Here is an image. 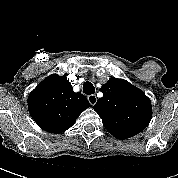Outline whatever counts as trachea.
I'll return each mask as SVG.
<instances>
[{
  "instance_id": "trachea-1",
  "label": "trachea",
  "mask_w": 178,
  "mask_h": 178,
  "mask_svg": "<svg viewBox=\"0 0 178 178\" xmlns=\"http://www.w3.org/2000/svg\"><path fill=\"white\" fill-rule=\"evenodd\" d=\"M83 92L87 95H91L95 93V87L90 81H86L83 84Z\"/></svg>"
}]
</instances>
